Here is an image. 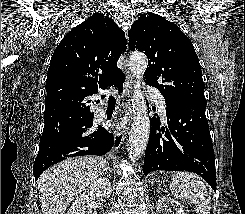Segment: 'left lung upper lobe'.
<instances>
[{"instance_id": "1", "label": "left lung upper lobe", "mask_w": 245, "mask_h": 214, "mask_svg": "<svg viewBox=\"0 0 245 214\" xmlns=\"http://www.w3.org/2000/svg\"><path fill=\"white\" fill-rule=\"evenodd\" d=\"M128 35L130 49L148 58L145 83L157 88L168 105L207 104L198 56L177 25L146 13L133 23Z\"/></svg>"}]
</instances>
